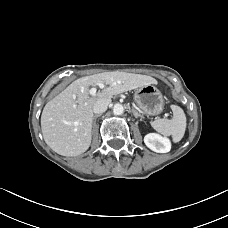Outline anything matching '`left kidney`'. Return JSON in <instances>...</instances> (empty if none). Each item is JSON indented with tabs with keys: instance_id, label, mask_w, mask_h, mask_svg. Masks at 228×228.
<instances>
[{
	"instance_id": "5707ae66",
	"label": "left kidney",
	"mask_w": 228,
	"mask_h": 228,
	"mask_svg": "<svg viewBox=\"0 0 228 228\" xmlns=\"http://www.w3.org/2000/svg\"><path fill=\"white\" fill-rule=\"evenodd\" d=\"M146 146L157 153H167L171 149L170 141L155 133H149L144 137Z\"/></svg>"
}]
</instances>
